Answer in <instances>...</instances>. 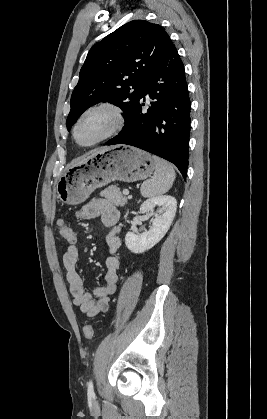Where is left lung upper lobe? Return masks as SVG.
I'll use <instances>...</instances> for the list:
<instances>
[{
  "label": "left lung upper lobe",
  "mask_w": 267,
  "mask_h": 419,
  "mask_svg": "<svg viewBox=\"0 0 267 419\" xmlns=\"http://www.w3.org/2000/svg\"><path fill=\"white\" fill-rule=\"evenodd\" d=\"M170 42L160 25L134 20L95 44L71 96L68 131L86 109L99 102L120 107L126 121L145 92L147 77Z\"/></svg>",
  "instance_id": "5c2ea615"
}]
</instances>
